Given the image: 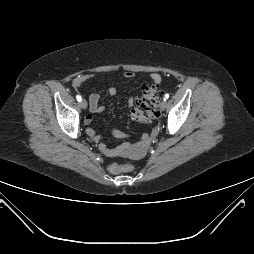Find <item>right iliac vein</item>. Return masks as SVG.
Listing matches in <instances>:
<instances>
[{"mask_svg":"<svg viewBox=\"0 0 254 254\" xmlns=\"http://www.w3.org/2000/svg\"><path fill=\"white\" fill-rule=\"evenodd\" d=\"M80 106H81L82 109H86V108H87V101L84 100V99L81 100V101H80Z\"/></svg>","mask_w":254,"mask_h":254,"instance_id":"63e3f726","label":"right iliac vein"}]
</instances>
